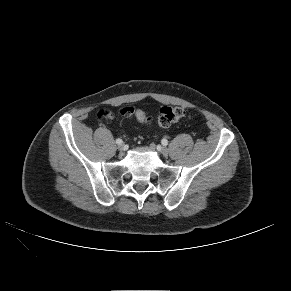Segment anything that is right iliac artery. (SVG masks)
<instances>
[{"label": "right iliac artery", "mask_w": 291, "mask_h": 291, "mask_svg": "<svg viewBox=\"0 0 291 291\" xmlns=\"http://www.w3.org/2000/svg\"><path fill=\"white\" fill-rule=\"evenodd\" d=\"M116 143L119 145V144H122L123 143V141L121 140V139H116Z\"/></svg>", "instance_id": "82829eb1"}]
</instances>
